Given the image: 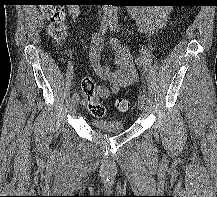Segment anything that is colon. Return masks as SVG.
<instances>
[{
	"label": "colon",
	"instance_id": "5ec220e1",
	"mask_svg": "<svg viewBox=\"0 0 217 197\" xmlns=\"http://www.w3.org/2000/svg\"><path fill=\"white\" fill-rule=\"evenodd\" d=\"M42 12L49 20L48 33L54 42L60 43L67 34L65 9L60 0H42ZM84 105L87 110L96 118H102L106 114L105 107L99 101L107 95V88L96 84L90 78H84L81 82ZM116 108L121 112H126L130 108L127 99L119 98L115 102Z\"/></svg>",
	"mask_w": 217,
	"mask_h": 197
}]
</instances>
